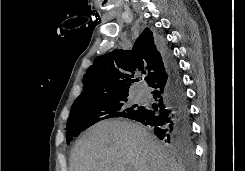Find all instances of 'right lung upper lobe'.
<instances>
[{
  "label": "right lung upper lobe",
  "mask_w": 245,
  "mask_h": 171,
  "mask_svg": "<svg viewBox=\"0 0 245 171\" xmlns=\"http://www.w3.org/2000/svg\"><path fill=\"white\" fill-rule=\"evenodd\" d=\"M147 71L149 86L166 75V65L149 28L144 29L132 50H113L98 56L83 77V92L75 101L97 100L128 94L135 72Z\"/></svg>",
  "instance_id": "obj_1"
}]
</instances>
